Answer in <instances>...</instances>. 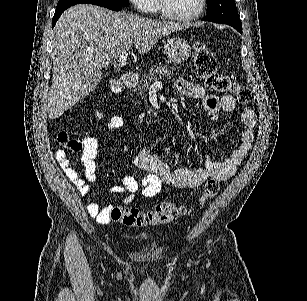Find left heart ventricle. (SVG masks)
Segmentation results:
<instances>
[{
    "label": "left heart ventricle",
    "instance_id": "b2bd125f",
    "mask_svg": "<svg viewBox=\"0 0 307 301\" xmlns=\"http://www.w3.org/2000/svg\"><path fill=\"white\" fill-rule=\"evenodd\" d=\"M168 13H186L196 11L198 0H165Z\"/></svg>",
    "mask_w": 307,
    "mask_h": 301
}]
</instances>
